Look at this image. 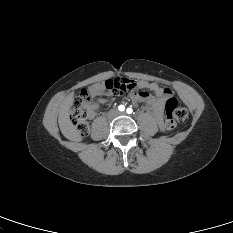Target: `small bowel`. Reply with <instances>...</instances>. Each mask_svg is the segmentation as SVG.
Listing matches in <instances>:
<instances>
[{
  "mask_svg": "<svg viewBox=\"0 0 233 233\" xmlns=\"http://www.w3.org/2000/svg\"><path fill=\"white\" fill-rule=\"evenodd\" d=\"M139 89V91H136ZM151 92V93H149ZM91 101L88 107L87 115L94 118L100 106L108 102V98L112 97L114 92L105 88L104 83H97L89 89ZM170 88L161 86L154 82L136 81V88L129 93L130 101L134 105L142 104L149 111L158 124H162L165 102L172 97Z\"/></svg>",
  "mask_w": 233,
  "mask_h": 233,
  "instance_id": "small-bowel-1",
  "label": "small bowel"
}]
</instances>
